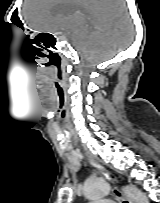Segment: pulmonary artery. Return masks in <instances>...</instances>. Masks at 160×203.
<instances>
[{"mask_svg":"<svg viewBox=\"0 0 160 203\" xmlns=\"http://www.w3.org/2000/svg\"><path fill=\"white\" fill-rule=\"evenodd\" d=\"M93 203H113L112 201H95Z\"/></svg>","mask_w":160,"mask_h":203,"instance_id":"pulmonary-artery-1","label":"pulmonary artery"}]
</instances>
